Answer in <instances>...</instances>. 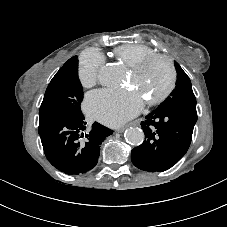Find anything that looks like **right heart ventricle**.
<instances>
[{
	"label": "right heart ventricle",
	"mask_w": 227,
	"mask_h": 227,
	"mask_svg": "<svg viewBox=\"0 0 227 227\" xmlns=\"http://www.w3.org/2000/svg\"><path fill=\"white\" fill-rule=\"evenodd\" d=\"M116 58L128 66H132L145 57L156 54V52L141 44H124L114 49Z\"/></svg>",
	"instance_id": "obj_1"
}]
</instances>
